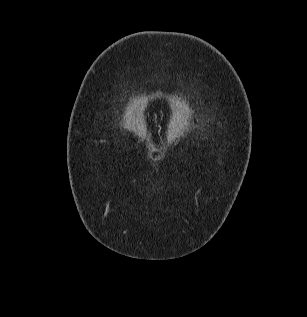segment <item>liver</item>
<instances>
[{"instance_id":"liver-1","label":"liver","mask_w":307,"mask_h":317,"mask_svg":"<svg viewBox=\"0 0 307 317\" xmlns=\"http://www.w3.org/2000/svg\"><path fill=\"white\" fill-rule=\"evenodd\" d=\"M186 110V114H188V109L185 108L183 109V111H181L178 115V119L176 120V123L178 124L176 130L177 131H182L184 130L185 126H187V122H186V117H185V111Z\"/></svg>"}]
</instances>
